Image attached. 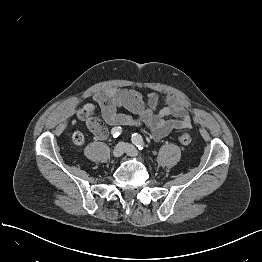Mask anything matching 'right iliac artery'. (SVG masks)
I'll use <instances>...</instances> for the list:
<instances>
[{"label": "right iliac artery", "mask_w": 262, "mask_h": 262, "mask_svg": "<svg viewBox=\"0 0 262 262\" xmlns=\"http://www.w3.org/2000/svg\"><path fill=\"white\" fill-rule=\"evenodd\" d=\"M121 127H114L112 130H111V134L113 135L114 138H117L120 133H121Z\"/></svg>", "instance_id": "obj_1"}]
</instances>
